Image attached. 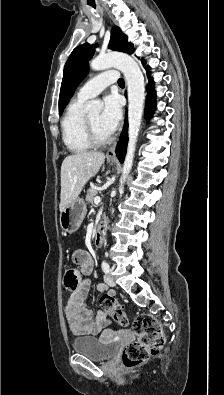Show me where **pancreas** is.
Instances as JSON below:
<instances>
[{"mask_svg":"<svg viewBox=\"0 0 224 395\" xmlns=\"http://www.w3.org/2000/svg\"><path fill=\"white\" fill-rule=\"evenodd\" d=\"M98 195V189L96 187H91L87 190L86 201L88 204L92 205L94 198Z\"/></svg>","mask_w":224,"mask_h":395,"instance_id":"cf45deb5","label":"pancreas"}]
</instances>
